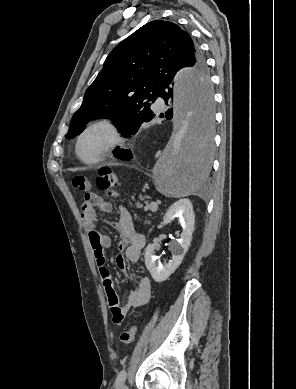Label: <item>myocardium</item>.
I'll use <instances>...</instances> for the list:
<instances>
[{
	"label": "myocardium",
	"mask_w": 296,
	"mask_h": 389,
	"mask_svg": "<svg viewBox=\"0 0 296 389\" xmlns=\"http://www.w3.org/2000/svg\"><path fill=\"white\" fill-rule=\"evenodd\" d=\"M93 131H103L106 142L93 158H85L80 151L82 140ZM123 140L119 125L111 118L97 119L87 124L78 134L75 143V153L80 161L85 164H96L108 156Z\"/></svg>",
	"instance_id": "myocardium-1"
}]
</instances>
